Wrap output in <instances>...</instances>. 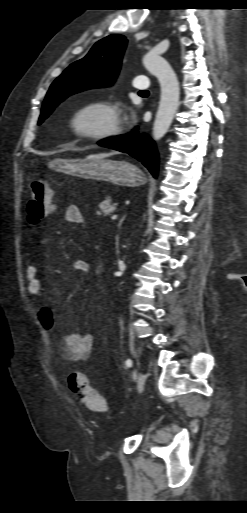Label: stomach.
I'll return each instance as SVG.
<instances>
[{
	"label": "stomach",
	"instance_id": "stomach-1",
	"mask_svg": "<svg viewBox=\"0 0 247 513\" xmlns=\"http://www.w3.org/2000/svg\"><path fill=\"white\" fill-rule=\"evenodd\" d=\"M47 166L55 171L121 186H139L145 179L139 168L124 160L108 158L54 159L48 162Z\"/></svg>",
	"mask_w": 247,
	"mask_h": 513
}]
</instances>
